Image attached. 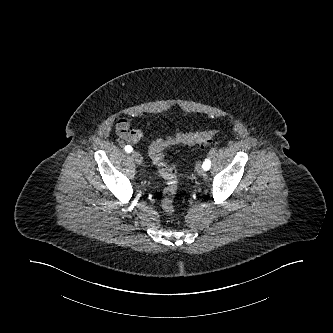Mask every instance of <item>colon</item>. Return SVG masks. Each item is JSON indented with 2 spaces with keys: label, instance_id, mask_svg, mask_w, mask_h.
Here are the masks:
<instances>
[{
  "label": "colon",
  "instance_id": "5ec220e1",
  "mask_svg": "<svg viewBox=\"0 0 333 333\" xmlns=\"http://www.w3.org/2000/svg\"><path fill=\"white\" fill-rule=\"evenodd\" d=\"M217 132L215 130L198 133H181L172 137L156 139L149 148V154L159 170L160 175L166 182L163 191L161 207L169 215L175 212L174 198L178 188L177 173L174 168L165 164L163 159V150L176 144L200 145L209 142Z\"/></svg>",
  "mask_w": 333,
  "mask_h": 333
}]
</instances>
